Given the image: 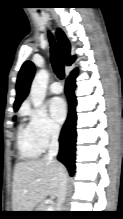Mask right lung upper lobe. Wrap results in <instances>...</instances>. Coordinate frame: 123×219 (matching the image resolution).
<instances>
[{
  "label": "right lung upper lobe",
  "mask_w": 123,
  "mask_h": 219,
  "mask_svg": "<svg viewBox=\"0 0 123 219\" xmlns=\"http://www.w3.org/2000/svg\"><path fill=\"white\" fill-rule=\"evenodd\" d=\"M56 34H57L59 48L63 61L66 65H71L74 62L75 57L70 56L69 41L61 29H58ZM33 76H34V65L32 62L26 61L21 67L17 78V84H16L17 96L14 103V110L17 111L20 104L27 97Z\"/></svg>",
  "instance_id": "cb5924a9"
}]
</instances>
